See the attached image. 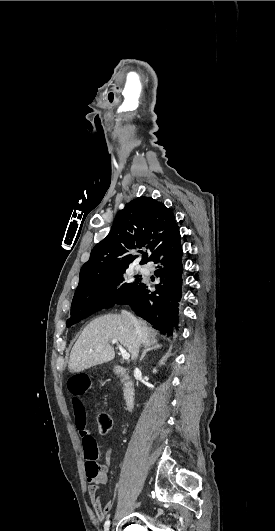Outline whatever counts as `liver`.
I'll return each mask as SVG.
<instances>
[{"label":"liver","instance_id":"obj_1","mask_svg":"<svg viewBox=\"0 0 275 531\" xmlns=\"http://www.w3.org/2000/svg\"><path fill=\"white\" fill-rule=\"evenodd\" d=\"M141 327L140 345H149L152 339L149 337V329L145 321H138ZM116 339L131 353V359H136L140 345H137V337L134 327L126 315H103L91 321L83 329L77 339L68 363L69 371L81 373L85 369L108 363L115 357V351L110 343Z\"/></svg>","mask_w":275,"mask_h":531}]
</instances>
